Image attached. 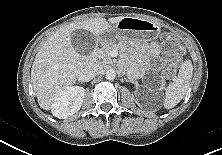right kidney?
I'll return each mask as SVG.
<instances>
[{"mask_svg":"<svg viewBox=\"0 0 222 155\" xmlns=\"http://www.w3.org/2000/svg\"><path fill=\"white\" fill-rule=\"evenodd\" d=\"M85 97V89L80 86L67 87L55 97L52 105V114L59 119H66L82 106Z\"/></svg>","mask_w":222,"mask_h":155,"instance_id":"1","label":"right kidney"}]
</instances>
